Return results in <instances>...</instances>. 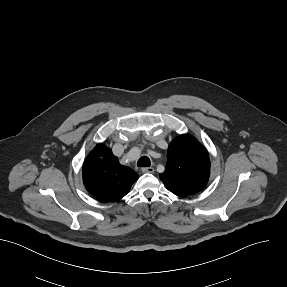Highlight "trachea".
<instances>
[{
    "mask_svg": "<svg viewBox=\"0 0 287 287\" xmlns=\"http://www.w3.org/2000/svg\"><path fill=\"white\" fill-rule=\"evenodd\" d=\"M151 164L150 159L147 156H142L138 161H137V166L138 167H149Z\"/></svg>",
    "mask_w": 287,
    "mask_h": 287,
    "instance_id": "trachea-1",
    "label": "trachea"
}]
</instances>
